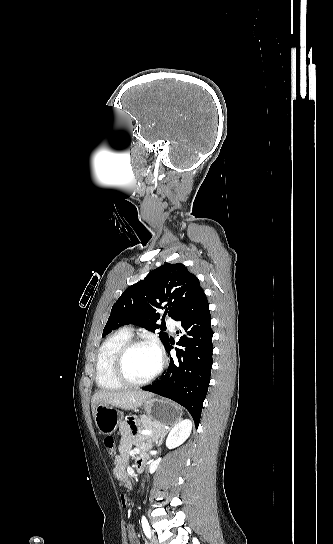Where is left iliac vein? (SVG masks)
Wrapping results in <instances>:
<instances>
[{
	"instance_id": "1",
	"label": "left iliac vein",
	"mask_w": 333,
	"mask_h": 544,
	"mask_svg": "<svg viewBox=\"0 0 333 544\" xmlns=\"http://www.w3.org/2000/svg\"><path fill=\"white\" fill-rule=\"evenodd\" d=\"M151 544H158V540L154 535L151 536Z\"/></svg>"
}]
</instances>
